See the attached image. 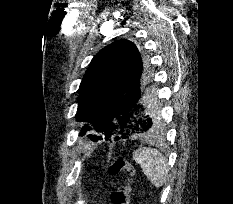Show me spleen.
<instances>
[{"label":"spleen","mask_w":233,"mask_h":204,"mask_svg":"<svg viewBox=\"0 0 233 204\" xmlns=\"http://www.w3.org/2000/svg\"><path fill=\"white\" fill-rule=\"evenodd\" d=\"M133 158L138 163L152 185L162 187L168 177V163L157 149L150 147L139 148L133 153Z\"/></svg>","instance_id":"1"}]
</instances>
